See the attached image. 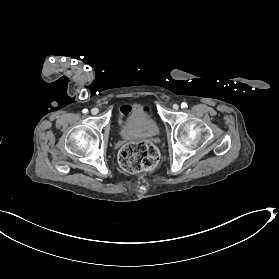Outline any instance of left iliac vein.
<instances>
[{
    "mask_svg": "<svg viewBox=\"0 0 279 279\" xmlns=\"http://www.w3.org/2000/svg\"><path fill=\"white\" fill-rule=\"evenodd\" d=\"M173 109H174V110H178V109H179V106H178L177 104H174V105H173Z\"/></svg>",
    "mask_w": 279,
    "mask_h": 279,
    "instance_id": "1",
    "label": "left iliac vein"
}]
</instances>
